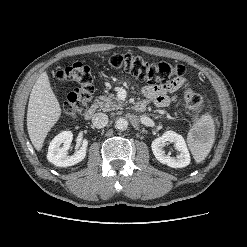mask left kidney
Here are the masks:
<instances>
[{
	"instance_id": "obj_1",
	"label": "left kidney",
	"mask_w": 247,
	"mask_h": 247,
	"mask_svg": "<svg viewBox=\"0 0 247 247\" xmlns=\"http://www.w3.org/2000/svg\"><path fill=\"white\" fill-rule=\"evenodd\" d=\"M167 143H174L175 149L179 152L176 157L165 154L163 147ZM151 148L156 159L169 167L183 168L190 163V154L186 142L180 134L174 131H166L161 137L153 140Z\"/></svg>"
}]
</instances>
